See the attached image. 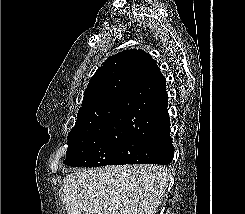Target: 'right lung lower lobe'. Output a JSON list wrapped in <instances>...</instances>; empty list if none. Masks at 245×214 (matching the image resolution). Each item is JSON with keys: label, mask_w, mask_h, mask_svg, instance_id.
I'll return each instance as SVG.
<instances>
[{"label": "right lung lower lobe", "mask_w": 245, "mask_h": 214, "mask_svg": "<svg viewBox=\"0 0 245 214\" xmlns=\"http://www.w3.org/2000/svg\"><path fill=\"white\" fill-rule=\"evenodd\" d=\"M140 114L117 147L118 164H170L174 146L170 137L166 84L155 94L139 98Z\"/></svg>", "instance_id": "1"}]
</instances>
